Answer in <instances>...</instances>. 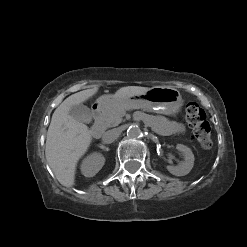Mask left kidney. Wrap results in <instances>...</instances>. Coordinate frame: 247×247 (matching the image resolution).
I'll list each match as a JSON object with an SVG mask.
<instances>
[{"mask_svg": "<svg viewBox=\"0 0 247 247\" xmlns=\"http://www.w3.org/2000/svg\"><path fill=\"white\" fill-rule=\"evenodd\" d=\"M176 149L184 156V161H181L178 166H167V170L175 176L187 175L193 168L194 155L190 148L185 145L177 144Z\"/></svg>", "mask_w": 247, "mask_h": 247, "instance_id": "1", "label": "left kidney"}]
</instances>
